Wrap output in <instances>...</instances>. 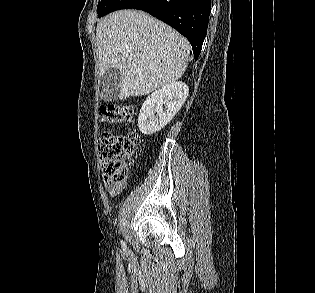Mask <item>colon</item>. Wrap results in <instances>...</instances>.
<instances>
[{
	"instance_id": "1",
	"label": "colon",
	"mask_w": 315,
	"mask_h": 293,
	"mask_svg": "<svg viewBox=\"0 0 315 293\" xmlns=\"http://www.w3.org/2000/svg\"><path fill=\"white\" fill-rule=\"evenodd\" d=\"M99 118L103 123L129 122L133 118L131 106L109 105L102 107ZM140 137L135 132L128 134L105 133L98 139V153L102 175L106 183H124L128 177V163Z\"/></svg>"
}]
</instances>
